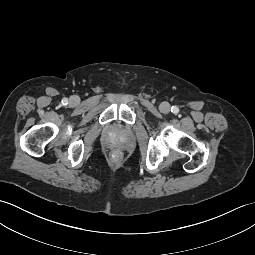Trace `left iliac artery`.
Masks as SVG:
<instances>
[{
    "mask_svg": "<svg viewBox=\"0 0 255 255\" xmlns=\"http://www.w3.org/2000/svg\"><path fill=\"white\" fill-rule=\"evenodd\" d=\"M171 112L177 114L179 112V108L177 106H172Z\"/></svg>",
    "mask_w": 255,
    "mask_h": 255,
    "instance_id": "left-iliac-artery-1",
    "label": "left iliac artery"
}]
</instances>
